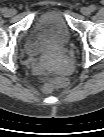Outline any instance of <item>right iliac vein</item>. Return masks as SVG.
Returning <instances> with one entry per match:
<instances>
[{"label": "right iliac vein", "mask_w": 104, "mask_h": 137, "mask_svg": "<svg viewBox=\"0 0 104 137\" xmlns=\"http://www.w3.org/2000/svg\"><path fill=\"white\" fill-rule=\"evenodd\" d=\"M15 13H16V11L14 9H10V10H8L7 15L8 16H13V15H15Z\"/></svg>", "instance_id": "right-iliac-vein-1"}]
</instances>
